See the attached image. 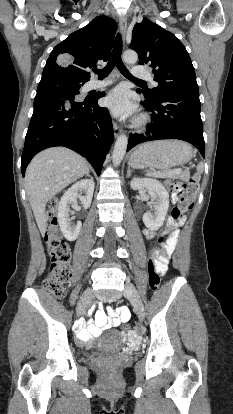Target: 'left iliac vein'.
Instances as JSON below:
<instances>
[{"mask_svg": "<svg viewBox=\"0 0 233 414\" xmlns=\"http://www.w3.org/2000/svg\"><path fill=\"white\" fill-rule=\"evenodd\" d=\"M124 296L130 300L139 320L142 321L144 319L145 314L144 305L138 291L136 290L133 284H125Z\"/></svg>", "mask_w": 233, "mask_h": 414, "instance_id": "left-iliac-vein-1", "label": "left iliac vein"}]
</instances>
